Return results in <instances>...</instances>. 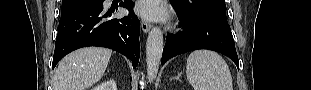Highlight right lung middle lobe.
<instances>
[{
    "mask_svg": "<svg viewBox=\"0 0 311 90\" xmlns=\"http://www.w3.org/2000/svg\"><path fill=\"white\" fill-rule=\"evenodd\" d=\"M102 0H62L61 15L76 8L101 2Z\"/></svg>",
    "mask_w": 311,
    "mask_h": 90,
    "instance_id": "dd1d6c3e",
    "label": "right lung middle lobe"
}]
</instances>
